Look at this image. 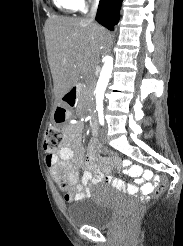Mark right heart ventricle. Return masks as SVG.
Wrapping results in <instances>:
<instances>
[{
    "label": "right heart ventricle",
    "mask_w": 183,
    "mask_h": 246,
    "mask_svg": "<svg viewBox=\"0 0 183 246\" xmlns=\"http://www.w3.org/2000/svg\"><path fill=\"white\" fill-rule=\"evenodd\" d=\"M54 6L62 12H75L79 9L75 0H52Z\"/></svg>",
    "instance_id": "obj_1"
}]
</instances>
